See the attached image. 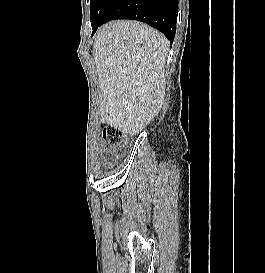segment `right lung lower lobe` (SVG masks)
<instances>
[{
    "instance_id": "right-lung-lower-lobe-1",
    "label": "right lung lower lobe",
    "mask_w": 265,
    "mask_h": 273,
    "mask_svg": "<svg viewBox=\"0 0 265 273\" xmlns=\"http://www.w3.org/2000/svg\"><path fill=\"white\" fill-rule=\"evenodd\" d=\"M177 13V0H113L101 23L93 28L92 35L107 21L132 19L158 29L172 42L176 32Z\"/></svg>"
}]
</instances>
